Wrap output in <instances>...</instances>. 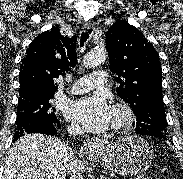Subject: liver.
<instances>
[{"label": "liver", "mask_w": 183, "mask_h": 179, "mask_svg": "<svg viewBox=\"0 0 183 179\" xmlns=\"http://www.w3.org/2000/svg\"><path fill=\"white\" fill-rule=\"evenodd\" d=\"M72 157L73 150L57 138L26 134L8 151L2 179H65Z\"/></svg>", "instance_id": "obj_1"}]
</instances>
